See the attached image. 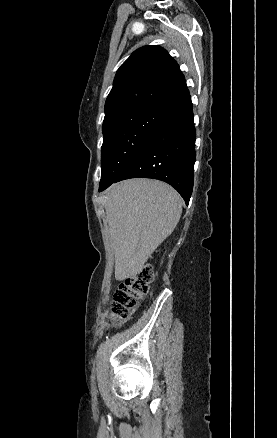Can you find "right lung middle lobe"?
Segmentation results:
<instances>
[{
    "instance_id": "1",
    "label": "right lung middle lobe",
    "mask_w": 277,
    "mask_h": 438,
    "mask_svg": "<svg viewBox=\"0 0 277 438\" xmlns=\"http://www.w3.org/2000/svg\"><path fill=\"white\" fill-rule=\"evenodd\" d=\"M166 111L137 116L117 115L103 122L102 174L100 185L113 181L144 145Z\"/></svg>"
}]
</instances>
